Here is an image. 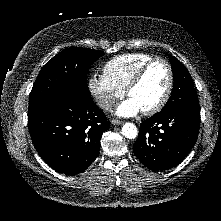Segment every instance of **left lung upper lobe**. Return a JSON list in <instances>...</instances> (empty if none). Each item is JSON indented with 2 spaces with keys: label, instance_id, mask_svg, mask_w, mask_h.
Segmentation results:
<instances>
[{
  "label": "left lung upper lobe",
  "instance_id": "left-lung-upper-lobe-1",
  "mask_svg": "<svg viewBox=\"0 0 221 221\" xmlns=\"http://www.w3.org/2000/svg\"><path fill=\"white\" fill-rule=\"evenodd\" d=\"M169 59L174 76V85L171 96L162 110L175 107L200 110L197 94L188 70L176 57L170 56Z\"/></svg>",
  "mask_w": 221,
  "mask_h": 221
}]
</instances>
